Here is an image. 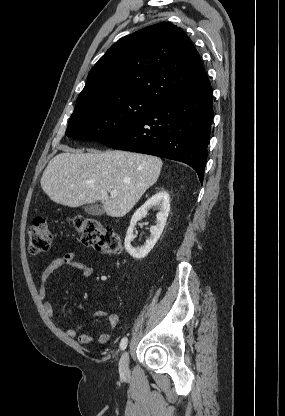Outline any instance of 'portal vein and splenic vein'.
Instances as JSON below:
<instances>
[{
  "label": "portal vein and splenic vein",
  "mask_w": 285,
  "mask_h": 416,
  "mask_svg": "<svg viewBox=\"0 0 285 416\" xmlns=\"http://www.w3.org/2000/svg\"><path fill=\"white\" fill-rule=\"evenodd\" d=\"M110 196H111V198H116V196H118L117 190H111Z\"/></svg>",
  "instance_id": "obj_1"
}]
</instances>
